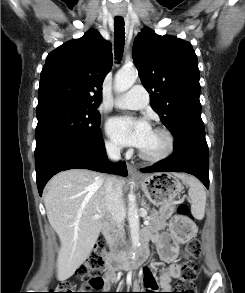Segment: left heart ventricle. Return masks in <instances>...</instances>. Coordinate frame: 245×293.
Returning a JSON list of instances; mask_svg holds the SVG:
<instances>
[{
    "mask_svg": "<svg viewBox=\"0 0 245 293\" xmlns=\"http://www.w3.org/2000/svg\"><path fill=\"white\" fill-rule=\"evenodd\" d=\"M166 148V138L160 132L152 131L147 143L141 150L148 155H158Z\"/></svg>",
    "mask_w": 245,
    "mask_h": 293,
    "instance_id": "b2bd125f",
    "label": "left heart ventricle"
}]
</instances>
